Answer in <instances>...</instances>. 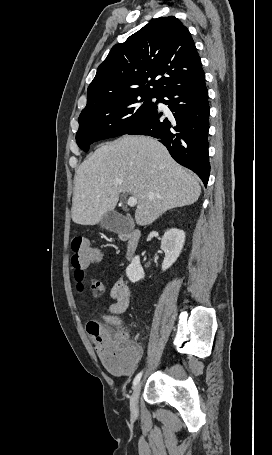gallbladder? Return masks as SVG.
I'll list each match as a JSON object with an SVG mask.
<instances>
[{"mask_svg": "<svg viewBox=\"0 0 272 455\" xmlns=\"http://www.w3.org/2000/svg\"><path fill=\"white\" fill-rule=\"evenodd\" d=\"M100 225L105 229L117 233H129L134 228V225L129 218L114 211L105 214L100 221Z\"/></svg>", "mask_w": 272, "mask_h": 455, "instance_id": "gallbladder-1", "label": "gallbladder"}]
</instances>
